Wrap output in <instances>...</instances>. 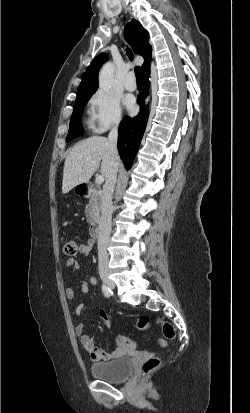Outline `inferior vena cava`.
Wrapping results in <instances>:
<instances>
[{
  "instance_id": "inferior-vena-cava-1",
  "label": "inferior vena cava",
  "mask_w": 250,
  "mask_h": 413,
  "mask_svg": "<svg viewBox=\"0 0 250 413\" xmlns=\"http://www.w3.org/2000/svg\"><path fill=\"white\" fill-rule=\"evenodd\" d=\"M118 125L116 122L108 135V142L112 158V168L107 177L106 183L103 187L102 194V206H101V218L99 222V235H98V258H99V268H107L109 256L107 253V246L111 234L112 225V195L114 193V188L117 180L118 171V151H117V140H118Z\"/></svg>"
}]
</instances>
